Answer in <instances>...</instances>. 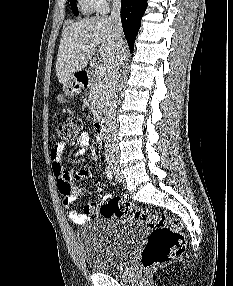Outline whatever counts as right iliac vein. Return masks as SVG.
Listing matches in <instances>:
<instances>
[{
    "label": "right iliac vein",
    "mask_w": 233,
    "mask_h": 286,
    "mask_svg": "<svg viewBox=\"0 0 233 286\" xmlns=\"http://www.w3.org/2000/svg\"><path fill=\"white\" fill-rule=\"evenodd\" d=\"M110 163V167L112 168L113 172L117 175H119V166L117 165V162L115 161V159H110L109 161Z\"/></svg>",
    "instance_id": "right-iliac-vein-1"
}]
</instances>
